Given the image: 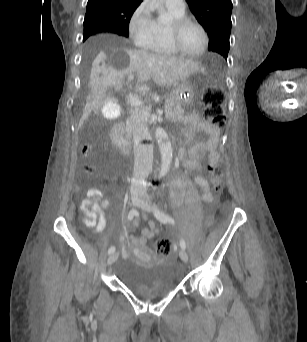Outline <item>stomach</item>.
<instances>
[{
  "label": "stomach",
  "instance_id": "stomach-1",
  "mask_svg": "<svg viewBox=\"0 0 307 342\" xmlns=\"http://www.w3.org/2000/svg\"><path fill=\"white\" fill-rule=\"evenodd\" d=\"M202 71H195L174 87L172 95L182 106L189 105L198 91Z\"/></svg>",
  "mask_w": 307,
  "mask_h": 342
}]
</instances>
